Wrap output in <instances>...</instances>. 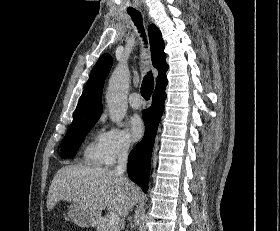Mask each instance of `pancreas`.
Listing matches in <instances>:
<instances>
[{"label": "pancreas", "instance_id": "cf45deb5", "mask_svg": "<svg viewBox=\"0 0 280 231\" xmlns=\"http://www.w3.org/2000/svg\"><path fill=\"white\" fill-rule=\"evenodd\" d=\"M107 219L108 215H103V217L97 219V231H119V225H111V223H108Z\"/></svg>", "mask_w": 280, "mask_h": 231}]
</instances>
